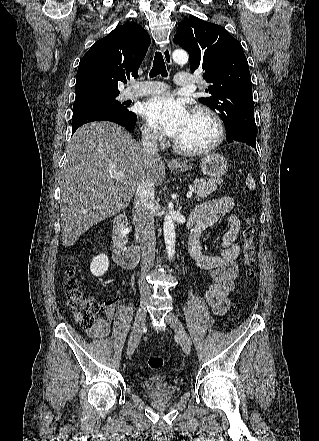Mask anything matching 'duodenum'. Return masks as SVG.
<instances>
[{
	"mask_svg": "<svg viewBox=\"0 0 319 441\" xmlns=\"http://www.w3.org/2000/svg\"><path fill=\"white\" fill-rule=\"evenodd\" d=\"M127 227V217L120 214L114 221L112 255L114 261L124 268H134L139 262V249L135 246H127L125 243V229Z\"/></svg>",
	"mask_w": 319,
	"mask_h": 441,
	"instance_id": "obj_1",
	"label": "duodenum"
}]
</instances>
